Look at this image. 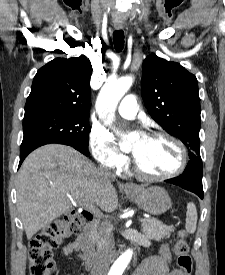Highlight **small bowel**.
Masks as SVG:
<instances>
[{"label":"small bowel","instance_id":"small-bowel-1","mask_svg":"<svg viewBox=\"0 0 225 275\" xmlns=\"http://www.w3.org/2000/svg\"><path fill=\"white\" fill-rule=\"evenodd\" d=\"M77 252V242L72 241L63 247L62 253L66 256ZM170 254L168 247L162 245L160 253L155 256L145 258L134 275H183L181 270L172 269L169 266Z\"/></svg>","mask_w":225,"mask_h":275}]
</instances>
